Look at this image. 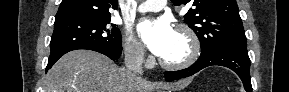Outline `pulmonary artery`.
<instances>
[{"mask_svg": "<svg viewBox=\"0 0 289 92\" xmlns=\"http://www.w3.org/2000/svg\"><path fill=\"white\" fill-rule=\"evenodd\" d=\"M166 6L165 0H146L138 6V11L145 12H158Z\"/></svg>", "mask_w": 289, "mask_h": 92, "instance_id": "1", "label": "pulmonary artery"}]
</instances>
